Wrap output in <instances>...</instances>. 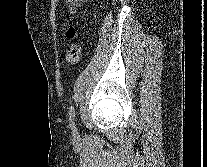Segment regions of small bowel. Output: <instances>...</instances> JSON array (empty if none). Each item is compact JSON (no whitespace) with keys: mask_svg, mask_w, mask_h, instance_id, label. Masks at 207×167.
Instances as JSON below:
<instances>
[{"mask_svg":"<svg viewBox=\"0 0 207 167\" xmlns=\"http://www.w3.org/2000/svg\"><path fill=\"white\" fill-rule=\"evenodd\" d=\"M93 0H65L67 10L70 13H77L81 5L90 3Z\"/></svg>","mask_w":207,"mask_h":167,"instance_id":"obj_1","label":"small bowel"}]
</instances>
